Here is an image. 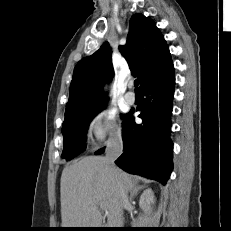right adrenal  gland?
<instances>
[{"label": "right adrenal gland", "instance_id": "obj_1", "mask_svg": "<svg viewBox=\"0 0 231 231\" xmlns=\"http://www.w3.org/2000/svg\"><path fill=\"white\" fill-rule=\"evenodd\" d=\"M143 188H144L143 186H135L130 192V200H132L134 196H136L138 192L142 190Z\"/></svg>", "mask_w": 231, "mask_h": 231}]
</instances>
